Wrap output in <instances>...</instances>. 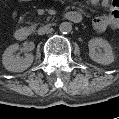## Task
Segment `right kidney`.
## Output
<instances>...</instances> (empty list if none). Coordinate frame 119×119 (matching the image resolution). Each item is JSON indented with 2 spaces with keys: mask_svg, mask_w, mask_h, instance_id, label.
Returning <instances> with one entry per match:
<instances>
[{
  "mask_svg": "<svg viewBox=\"0 0 119 119\" xmlns=\"http://www.w3.org/2000/svg\"><path fill=\"white\" fill-rule=\"evenodd\" d=\"M19 49L18 44H13L9 46L3 54V65L11 72H22L31 66L34 60V56L31 53H26L25 57H20L14 55V53Z\"/></svg>",
  "mask_w": 119,
  "mask_h": 119,
  "instance_id": "obj_1",
  "label": "right kidney"
}]
</instances>
